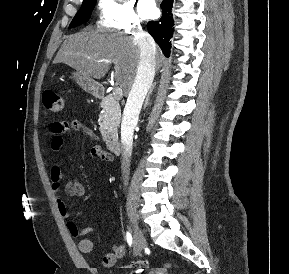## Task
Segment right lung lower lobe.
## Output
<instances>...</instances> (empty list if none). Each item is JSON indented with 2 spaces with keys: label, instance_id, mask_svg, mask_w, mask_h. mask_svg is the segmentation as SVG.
Instances as JSON below:
<instances>
[{
  "label": "right lung lower lobe",
  "instance_id": "1",
  "mask_svg": "<svg viewBox=\"0 0 289 274\" xmlns=\"http://www.w3.org/2000/svg\"><path fill=\"white\" fill-rule=\"evenodd\" d=\"M173 0H163L161 8L163 15L159 21H149L147 24L148 32L152 35L156 43L162 49L164 55L169 57L171 48V38L174 32L172 17Z\"/></svg>",
  "mask_w": 289,
  "mask_h": 274
}]
</instances>
